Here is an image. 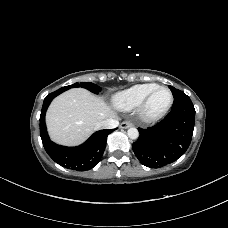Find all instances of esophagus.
<instances>
[{"mask_svg":"<svg viewBox=\"0 0 228 228\" xmlns=\"http://www.w3.org/2000/svg\"><path fill=\"white\" fill-rule=\"evenodd\" d=\"M131 126H133V124L131 122H129V121H125V122H122L120 124V128H122V129H127V128L131 127Z\"/></svg>","mask_w":228,"mask_h":228,"instance_id":"34e87169","label":"esophagus"}]
</instances>
